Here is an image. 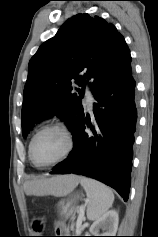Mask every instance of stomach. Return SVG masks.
I'll list each match as a JSON object with an SVG mask.
<instances>
[{"label":"stomach","instance_id":"stomach-1","mask_svg":"<svg viewBox=\"0 0 158 237\" xmlns=\"http://www.w3.org/2000/svg\"><path fill=\"white\" fill-rule=\"evenodd\" d=\"M74 189L59 195L62 199L57 204L58 213L65 219L73 216L78 202L82 199V195L79 192L72 193Z\"/></svg>","mask_w":158,"mask_h":237}]
</instances>
